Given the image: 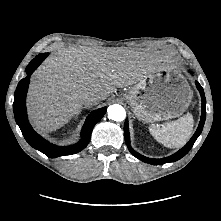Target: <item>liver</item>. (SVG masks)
<instances>
[{"label":"liver","mask_w":221,"mask_h":221,"mask_svg":"<svg viewBox=\"0 0 221 221\" xmlns=\"http://www.w3.org/2000/svg\"><path fill=\"white\" fill-rule=\"evenodd\" d=\"M157 52L129 48L69 47L48 58L30 85L28 112L33 126L52 132L77 115L83 95L105 100L117 87L136 84L166 66Z\"/></svg>","instance_id":"6515ba94"}]
</instances>
